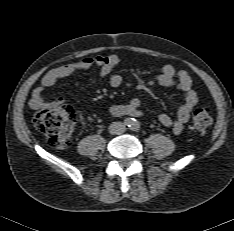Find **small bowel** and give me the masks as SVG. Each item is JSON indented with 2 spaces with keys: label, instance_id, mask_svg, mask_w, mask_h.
<instances>
[{
  "label": "small bowel",
  "instance_id": "small-bowel-1",
  "mask_svg": "<svg viewBox=\"0 0 234 231\" xmlns=\"http://www.w3.org/2000/svg\"><path fill=\"white\" fill-rule=\"evenodd\" d=\"M119 64L120 58L115 54H111L85 57L53 68L43 76L40 84L34 89L30 105L35 110L54 109L61 106L63 99L50 100L46 96V91L54 86L59 79L87 71L93 67L99 68L100 77L107 78L110 86L117 88L123 82L122 76L113 72ZM154 80L164 87H176L182 95L183 102L177 110L176 119L164 112L158 115V119L163 126L171 127L174 134L180 135L184 132L190 114L198 102V95L192 88L191 77L186 71L176 72L172 65L167 64L162 67L160 73L155 75ZM146 105L147 103L144 100L133 98L127 104L109 106L108 111L113 116L141 117L143 116L142 108Z\"/></svg>",
  "mask_w": 234,
  "mask_h": 231
}]
</instances>
